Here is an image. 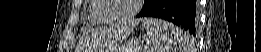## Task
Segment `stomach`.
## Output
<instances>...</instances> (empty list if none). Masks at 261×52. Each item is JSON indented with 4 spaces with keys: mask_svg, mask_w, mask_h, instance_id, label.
Instances as JSON below:
<instances>
[{
    "mask_svg": "<svg viewBox=\"0 0 261 52\" xmlns=\"http://www.w3.org/2000/svg\"><path fill=\"white\" fill-rule=\"evenodd\" d=\"M139 44H140V41H135L134 43L131 44V46H132L131 48L126 47V48H124L125 51H119V52H138L137 46H139ZM120 50H122V49H120Z\"/></svg>",
    "mask_w": 261,
    "mask_h": 52,
    "instance_id": "0dacf381",
    "label": "stomach"
}]
</instances>
